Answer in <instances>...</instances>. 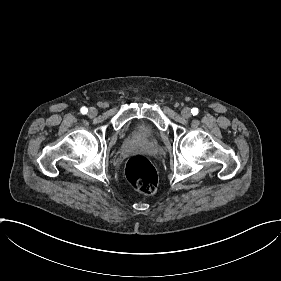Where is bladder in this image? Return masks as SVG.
<instances>
[{
  "instance_id": "31cf9c89",
  "label": "bladder",
  "mask_w": 281,
  "mask_h": 281,
  "mask_svg": "<svg viewBox=\"0 0 281 281\" xmlns=\"http://www.w3.org/2000/svg\"><path fill=\"white\" fill-rule=\"evenodd\" d=\"M136 136L141 140H148L151 137V132L147 128H138L135 132Z\"/></svg>"
}]
</instances>
